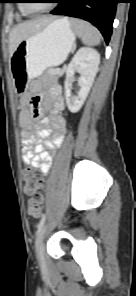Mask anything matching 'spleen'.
<instances>
[{
  "mask_svg": "<svg viewBox=\"0 0 136 296\" xmlns=\"http://www.w3.org/2000/svg\"><path fill=\"white\" fill-rule=\"evenodd\" d=\"M71 24L75 34L82 40V43L91 46L100 44L101 34L90 23L80 19H72Z\"/></svg>",
  "mask_w": 136,
  "mask_h": 296,
  "instance_id": "obj_1",
  "label": "spleen"
}]
</instances>
